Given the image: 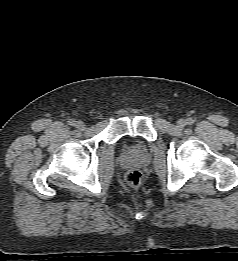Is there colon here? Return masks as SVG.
Here are the masks:
<instances>
[{
    "label": "colon",
    "instance_id": "obj_1",
    "mask_svg": "<svg viewBox=\"0 0 238 261\" xmlns=\"http://www.w3.org/2000/svg\"><path fill=\"white\" fill-rule=\"evenodd\" d=\"M125 181L129 187L137 190L142 183V174L137 170L129 171L126 174Z\"/></svg>",
    "mask_w": 238,
    "mask_h": 261
}]
</instances>
